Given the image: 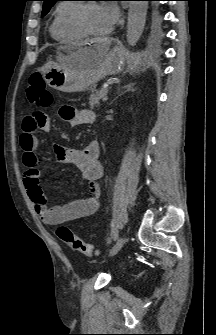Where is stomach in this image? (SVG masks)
<instances>
[{"label":"stomach","instance_id":"1","mask_svg":"<svg viewBox=\"0 0 216 335\" xmlns=\"http://www.w3.org/2000/svg\"><path fill=\"white\" fill-rule=\"evenodd\" d=\"M68 54H59L57 61L44 65L41 73L44 81L51 88L62 92H79L95 86L98 81L109 75L120 73L125 66L126 53L119 47L105 53L100 63L96 66L77 70L69 67V61L74 54L67 49ZM83 52H92L91 48H83Z\"/></svg>","mask_w":216,"mask_h":335}]
</instances>
